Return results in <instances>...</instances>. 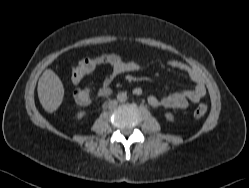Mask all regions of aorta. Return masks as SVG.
<instances>
[{
  "mask_svg": "<svg viewBox=\"0 0 249 188\" xmlns=\"http://www.w3.org/2000/svg\"><path fill=\"white\" fill-rule=\"evenodd\" d=\"M117 100L120 103H124L127 101V93L126 92H120L117 94Z\"/></svg>",
  "mask_w": 249,
  "mask_h": 188,
  "instance_id": "762f6f07",
  "label": "aorta"
}]
</instances>
